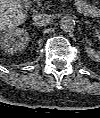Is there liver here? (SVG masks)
Returning <instances> with one entry per match:
<instances>
[{
    "mask_svg": "<svg viewBox=\"0 0 100 118\" xmlns=\"http://www.w3.org/2000/svg\"><path fill=\"white\" fill-rule=\"evenodd\" d=\"M25 20V12L20 0H1L0 29L1 31L16 28Z\"/></svg>",
    "mask_w": 100,
    "mask_h": 118,
    "instance_id": "1",
    "label": "liver"
}]
</instances>
